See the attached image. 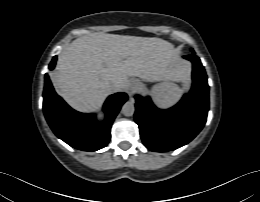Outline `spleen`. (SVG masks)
Listing matches in <instances>:
<instances>
[{"label":"spleen","mask_w":260,"mask_h":202,"mask_svg":"<svg viewBox=\"0 0 260 202\" xmlns=\"http://www.w3.org/2000/svg\"><path fill=\"white\" fill-rule=\"evenodd\" d=\"M182 95L181 89L173 83H163L154 90L156 103L163 108L176 103Z\"/></svg>","instance_id":"3e777b00"}]
</instances>
